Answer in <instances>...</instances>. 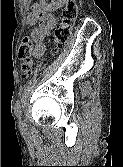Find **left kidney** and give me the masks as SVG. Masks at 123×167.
Instances as JSON below:
<instances>
[{"instance_id":"obj_1","label":"left kidney","mask_w":123,"mask_h":167,"mask_svg":"<svg viewBox=\"0 0 123 167\" xmlns=\"http://www.w3.org/2000/svg\"><path fill=\"white\" fill-rule=\"evenodd\" d=\"M64 3H65V0H58V3L56 4V7H54L53 9L60 8Z\"/></svg>"}]
</instances>
